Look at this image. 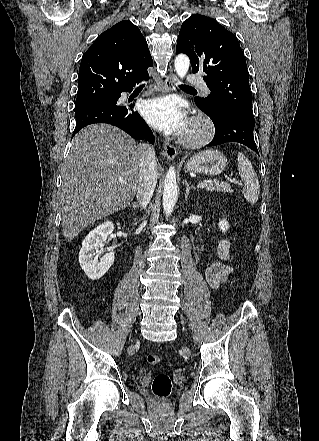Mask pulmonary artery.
<instances>
[{
    "mask_svg": "<svg viewBox=\"0 0 319 441\" xmlns=\"http://www.w3.org/2000/svg\"><path fill=\"white\" fill-rule=\"evenodd\" d=\"M187 80L190 84L201 87L205 93H209L208 87L206 86L203 78L200 77L199 75H195V74L189 75Z\"/></svg>",
    "mask_w": 319,
    "mask_h": 441,
    "instance_id": "e3ab8cb5",
    "label": "pulmonary artery"
}]
</instances>
